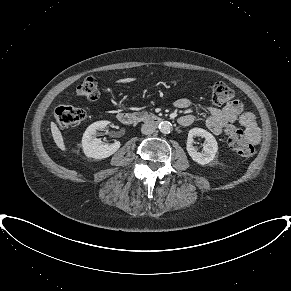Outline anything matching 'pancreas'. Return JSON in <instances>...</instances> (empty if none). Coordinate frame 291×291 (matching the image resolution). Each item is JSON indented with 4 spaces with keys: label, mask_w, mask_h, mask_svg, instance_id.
<instances>
[{
    "label": "pancreas",
    "mask_w": 291,
    "mask_h": 291,
    "mask_svg": "<svg viewBox=\"0 0 291 291\" xmlns=\"http://www.w3.org/2000/svg\"><path fill=\"white\" fill-rule=\"evenodd\" d=\"M135 115L137 116L138 121L146 120L150 116L149 113L146 111H143L141 113H135Z\"/></svg>",
    "instance_id": "obj_1"
}]
</instances>
